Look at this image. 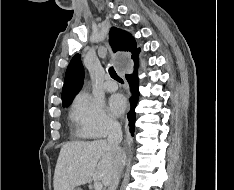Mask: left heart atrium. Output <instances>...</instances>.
<instances>
[{
  "mask_svg": "<svg viewBox=\"0 0 234 190\" xmlns=\"http://www.w3.org/2000/svg\"><path fill=\"white\" fill-rule=\"evenodd\" d=\"M109 105L111 112L115 115H119L125 110L126 101L123 96L114 95L111 97Z\"/></svg>",
  "mask_w": 234,
  "mask_h": 190,
  "instance_id": "39dd6f15",
  "label": "left heart atrium"
}]
</instances>
